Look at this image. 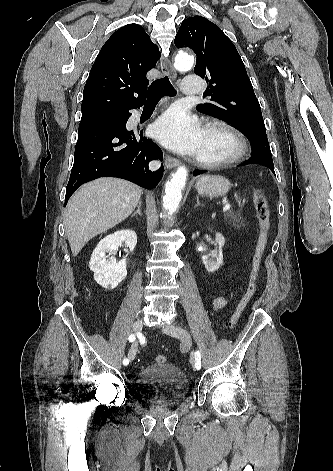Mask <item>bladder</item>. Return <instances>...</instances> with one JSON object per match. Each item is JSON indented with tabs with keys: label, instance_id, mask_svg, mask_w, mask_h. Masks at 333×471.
Returning a JSON list of instances; mask_svg holds the SVG:
<instances>
[{
	"label": "bladder",
	"instance_id": "1",
	"mask_svg": "<svg viewBox=\"0 0 333 471\" xmlns=\"http://www.w3.org/2000/svg\"><path fill=\"white\" fill-rule=\"evenodd\" d=\"M135 395L152 405H175L188 393L189 380L172 363H152L143 367L134 381Z\"/></svg>",
	"mask_w": 333,
	"mask_h": 471
}]
</instances>
